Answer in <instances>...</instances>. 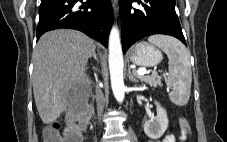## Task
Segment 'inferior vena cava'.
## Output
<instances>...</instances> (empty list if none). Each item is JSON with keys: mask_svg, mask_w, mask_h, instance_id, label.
Listing matches in <instances>:
<instances>
[{"mask_svg": "<svg viewBox=\"0 0 227 142\" xmlns=\"http://www.w3.org/2000/svg\"><path fill=\"white\" fill-rule=\"evenodd\" d=\"M95 98H96V103H97L98 115H101L102 112H103L105 103H106V100H105L104 95H103V93L101 92V90H98V91L96 92Z\"/></svg>", "mask_w": 227, "mask_h": 142, "instance_id": "1", "label": "inferior vena cava"}]
</instances>
